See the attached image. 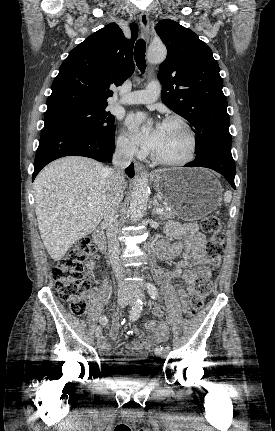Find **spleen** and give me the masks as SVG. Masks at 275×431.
Returning <instances> with one entry per match:
<instances>
[{
  "instance_id": "spleen-1",
  "label": "spleen",
  "mask_w": 275,
  "mask_h": 431,
  "mask_svg": "<svg viewBox=\"0 0 275 431\" xmlns=\"http://www.w3.org/2000/svg\"><path fill=\"white\" fill-rule=\"evenodd\" d=\"M231 199H232L231 191H226L224 194V202L227 204L231 201Z\"/></svg>"
}]
</instances>
